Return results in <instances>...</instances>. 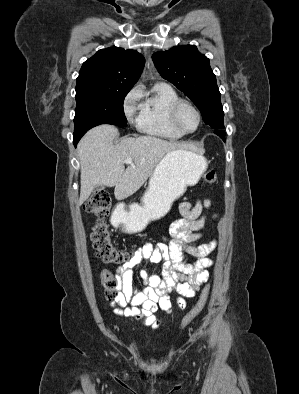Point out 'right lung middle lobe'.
Segmentation results:
<instances>
[{
    "mask_svg": "<svg viewBox=\"0 0 299 394\" xmlns=\"http://www.w3.org/2000/svg\"><path fill=\"white\" fill-rule=\"evenodd\" d=\"M130 89H76L74 131H88L99 124L127 126L123 101Z\"/></svg>",
    "mask_w": 299,
    "mask_h": 394,
    "instance_id": "dd1d6c3e",
    "label": "right lung middle lobe"
}]
</instances>
